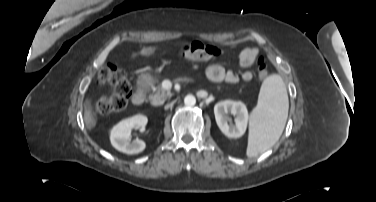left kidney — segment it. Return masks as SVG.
Listing matches in <instances>:
<instances>
[{
	"label": "left kidney",
	"mask_w": 376,
	"mask_h": 202,
	"mask_svg": "<svg viewBox=\"0 0 376 202\" xmlns=\"http://www.w3.org/2000/svg\"><path fill=\"white\" fill-rule=\"evenodd\" d=\"M228 113L235 116V123L230 122ZM214 114L218 127L229 138L244 135L249 114L246 105L241 101L224 100L215 104Z\"/></svg>",
	"instance_id": "obj_1"
}]
</instances>
